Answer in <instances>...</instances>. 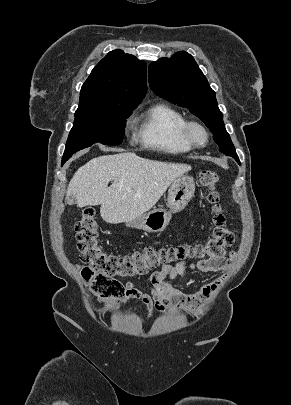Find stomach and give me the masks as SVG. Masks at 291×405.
Listing matches in <instances>:
<instances>
[{"label":"stomach","instance_id":"stomach-1","mask_svg":"<svg viewBox=\"0 0 291 405\" xmlns=\"http://www.w3.org/2000/svg\"><path fill=\"white\" fill-rule=\"evenodd\" d=\"M194 192L195 183L193 178L182 175L172 182L168 190L167 205L169 210L154 208L136 219L126 222V226L147 232L163 231L169 224L172 213L183 210L194 196Z\"/></svg>","mask_w":291,"mask_h":405}]
</instances>
